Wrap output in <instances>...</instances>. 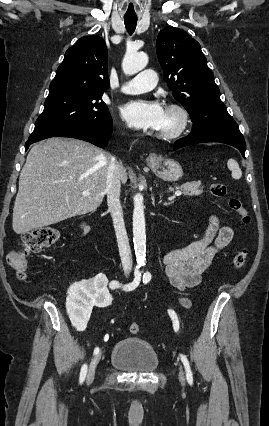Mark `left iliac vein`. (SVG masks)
<instances>
[{
  "label": "left iliac vein",
  "mask_w": 269,
  "mask_h": 426,
  "mask_svg": "<svg viewBox=\"0 0 269 426\" xmlns=\"http://www.w3.org/2000/svg\"><path fill=\"white\" fill-rule=\"evenodd\" d=\"M179 380L182 385H185V372L182 365L179 363Z\"/></svg>",
  "instance_id": "4c4485c4"
}]
</instances>
